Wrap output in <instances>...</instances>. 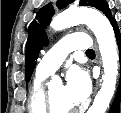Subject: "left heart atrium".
I'll list each match as a JSON object with an SVG mask.
<instances>
[{
  "mask_svg": "<svg viewBox=\"0 0 121 113\" xmlns=\"http://www.w3.org/2000/svg\"><path fill=\"white\" fill-rule=\"evenodd\" d=\"M65 90L73 104L84 102L91 91V81L85 70L73 68L67 74Z\"/></svg>",
  "mask_w": 121,
  "mask_h": 113,
  "instance_id": "39dd6f15",
  "label": "left heart atrium"
}]
</instances>
